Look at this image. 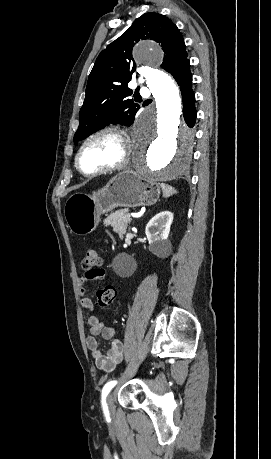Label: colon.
<instances>
[{"label": "colon", "mask_w": 271, "mask_h": 459, "mask_svg": "<svg viewBox=\"0 0 271 459\" xmlns=\"http://www.w3.org/2000/svg\"><path fill=\"white\" fill-rule=\"evenodd\" d=\"M102 265V259L98 251L94 248H89L82 260L81 266L86 272L97 270ZM114 290L112 288H104L96 293L97 305L102 308H108L114 300Z\"/></svg>", "instance_id": "1"}]
</instances>
